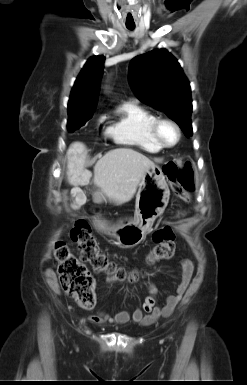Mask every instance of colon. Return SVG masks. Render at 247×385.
<instances>
[{
  "mask_svg": "<svg viewBox=\"0 0 247 385\" xmlns=\"http://www.w3.org/2000/svg\"><path fill=\"white\" fill-rule=\"evenodd\" d=\"M164 174L171 184L173 192L185 199L195 190V178L189 162L178 166L170 161L163 167ZM70 238L78 244L81 255L77 257L68 246L58 241L55 244V258L58 264L59 282L64 292L81 308L91 309L96 303L95 280L84 266L89 263L97 274H105L113 280H135L137 273H128L122 266L110 260L101 250L92 235L89 224L78 220L70 230ZM155 246L147 255V263L169 260L175 253V235L169 225L156 229L152 236Z\"/></svg>",
  "mask_w": 247,
  "mask_h": 385,
  "instance_id": "1",
  "label": "colon"
}]
</instances>
